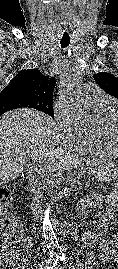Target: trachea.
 I'll return each mask as SVG.
<instances>
[{
	"label": "trachea",
	"instance_id": "1",
	"mask_svg": "<svg viewBox=\"0 0 118 269\" xmlns=\"http://www.w3.org/2000/svg\"><path fill=\"white\" fill-rule=\"evenodd\" d=\"M69 44H70V39H61V41H60V45L62 48L68 47Z\"/></svg>",
	"mask_w": 118,
	"mask_h": 269
}]
</instances>
